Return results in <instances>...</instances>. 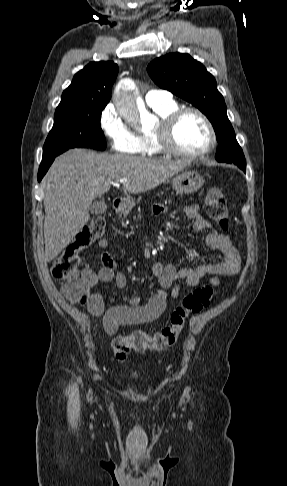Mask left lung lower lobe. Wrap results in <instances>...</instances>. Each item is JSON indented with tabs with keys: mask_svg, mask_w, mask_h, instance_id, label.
Masks as SVG:
<instances>
[{
	"mask_svg": "<svg viewBox=\"0 0 287 486\" xmlns=\"http://www.w3.org/2000/svg\"><path fill=\"white\" fill-rule=\"evenodd\" d=\"M238 167H240L244 172H246V163L245 164H238Z\"/></svg>",
	"mask_w": 287,
	"mask_h": 486,
	"instance_id": "left-lung-lower-lobe-1",
	"label": "left lung lower lobe"
}]
</instances>
